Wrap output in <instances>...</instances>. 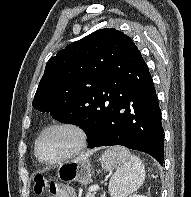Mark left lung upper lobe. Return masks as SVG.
I'll use <instances>...</instances> for the list:
<instances>
[{"label": "left lung upper lobe", "mask_w": 191, "mask_h": 197, "mask_svg": "<svg viewBox=\"0 0 191 197\" xmlns=\"http://www.w3.org/2000/svg\"><path fill=\"white\" fill-rule=\"evenodd\" d=\"M147 68L130 37L114 28L97 30L49 59L32 105L87 133V118L122 77Z\"/></svg>", "instance_id": "5c2ea615"}]
</instances>
